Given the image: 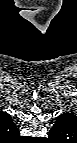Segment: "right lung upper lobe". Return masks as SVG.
<instances>
[{
    "instance_id": "obj_1",
    "label": "right lung upper lobe",
    "mask_w": 77,
    "mask_h": 143,
    "mask_svg": "<svg viewBox=\"0 0 77 143\" xmlns=\"http://www.w3.org/2000/svg\"><path fill=\"white\" fill-rule=\"evenodd\" d=\"M0 127L6 134L16 135L18 133V129L13 123L11 116L7 113H0Z\"/></svg>"
}]
</instances>
